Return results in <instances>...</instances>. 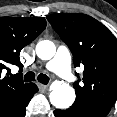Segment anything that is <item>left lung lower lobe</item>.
Returning <instances> with one entry per match:
<instances>
[{
    "instance_id": "0a47b994",
    "label": "left lung lower lobe",
    "mask_w": 117,
    "mask_h": 117,
    "mask_svg": "<svg viewBox=\"0 0 117 117\" xmlns=\"http://www.w3.org/2000/svg\"><path fill=\"white\" fill-rule=\"evenodd\" d=\"M110 108L93 105L85 102H74L66 110H55V117H106Z\"/></svg>"
}]
</instances>
